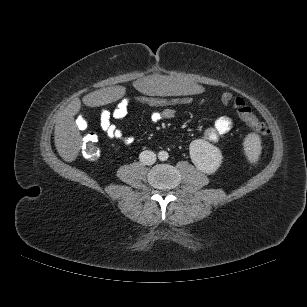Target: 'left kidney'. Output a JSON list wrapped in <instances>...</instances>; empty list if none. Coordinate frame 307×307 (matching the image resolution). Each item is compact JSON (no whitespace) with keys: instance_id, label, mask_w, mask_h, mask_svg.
I'll list each match as a JSON object with an SVG mask.
<instances>
[{"instance_id":"left-kidney-1","label":"left kidney","mask_w":307,"mask_h":307,"mask_svg":"<svg viewBox=\"0 0 307 307\" xmlns=\"http://www.w3.org/2000/svg\"><path fill=\"white\" fill-rule=\"evenodd\" d=\"M190 157L194 165L201 171L212 174L222 163L220 149L204 139H196L189 146Z\"/></svg>"}]
</instances>
